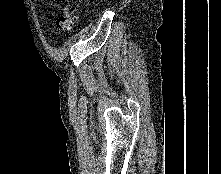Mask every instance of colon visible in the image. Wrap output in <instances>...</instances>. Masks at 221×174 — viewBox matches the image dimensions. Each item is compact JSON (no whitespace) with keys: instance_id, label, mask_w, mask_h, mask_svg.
Masks as SVG:
<instances>
[{"instance_id":"obj_1","label":"colon","mask_w":221,"mask_h":174,"mask_svg":"<svg viewBox=\"0 0 221 174\" xmlns=\"http://www.w3.org/2000/svg\"><path fill=\"white\" fill-rule=\"evenodd\" d=\"M63 10L62 15L57 19L56 25L59 31L71 32L77 24L76 7L70 0H60Z\"/></svg>"}]
</instances>
